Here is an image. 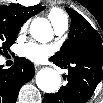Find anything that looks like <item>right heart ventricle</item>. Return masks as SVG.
<instances>
[{
    "label": "right heart ventricle",
    "instance_id": "e07e8e85",
    "mask_svg": "<svg viewBox=\"0 0 103 103\" xmlns=\"http://www.w3.org/2000/svg\"><path fill=\"white\" fill-rule=\"evenodd\" d=\"M48 16L54 28L67 23V17L59 9H51L48 13Z\"/></svg>",
    "mask_w": 103,
    "mask_h": 103
}]
</instances>
